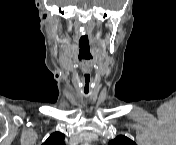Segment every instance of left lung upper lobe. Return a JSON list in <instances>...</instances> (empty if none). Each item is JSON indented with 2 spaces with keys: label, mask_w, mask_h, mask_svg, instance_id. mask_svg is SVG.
Segmentation results:
<instances>
[{
  "label": "left lung upper lobe",
  "mask_w": 176,
  "mask_h": 145,
  "mask_svg": "<svg viewBox=\"0 0 176 145\" xmlns=\"http://www.w3.org/2000/svg\"><path fill=\"white\" fill-rule=\"evenodd\" d=\"M109 145H136L132 140L125 136H117L114 140L109 142Z\"/></svg>",
  "instance_id": "left-lung-upper-lobe-1"
}]
</instances>
